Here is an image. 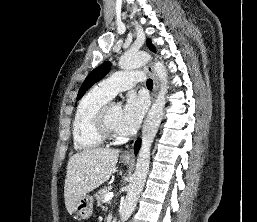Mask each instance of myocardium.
Returning a JSON list of instances; mask_svg holds the SVG:
<instances>
[{
	"mask_svg": "<svg viewBox=\"0 0 257 222\" xmlns=\"http://www.w3.org/2000/svg\"><path fill=\"white\" fill-rule=\"evenodd\" d=\"M114 102L106 103L99 111L96 117V128L100 137L104 140L118 139L120 134L114 130L109 123V114Z\"/></svg>",
	"mask_w": 257,
	"mask_h": 222,
	"instance_id": "1",
	"label": "myocardium"
}]
</instances>
